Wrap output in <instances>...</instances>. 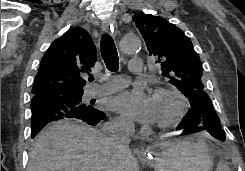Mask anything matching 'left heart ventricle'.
Here are the masks:
<instances>
[{
    "label": "left heart ventricle",
    "instance_id": "1",
    "mask_svg": "<svg viewBox=\"0 0 245 171\" xmlns=\"http://www.w3.org/2000/svg\"><path fill=\"white\" fill-rule=\"evenodd\" d=\"M155 104L157 109V121L165 120L170 117L176 109V102L170 96H155Z\"/></svg>",
    "mask_w": 245,
    "mask_h": 171
}]
</instances>
